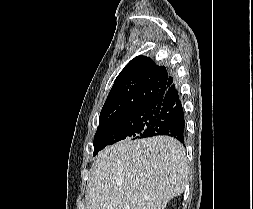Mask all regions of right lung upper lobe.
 Instances as JSON below:
<instances>
[{
	"label": "right lung upper lobe",
	"mask_w": 253,
	"mask_h": 209,
	"mask_svg": "<svg viewBox=\"0 0 253 209\" xmlns=\"http://www.w3.org/2000/svg\"><path fill=\"white\" fill-rule=\"evenodd\" d=\"M165 66L149 57L137 56L116 78L100 113V122L115 118L134 108L153 106L173 84Z\"/></svg>",
	"instance_id": "1"
}]
</instances>
